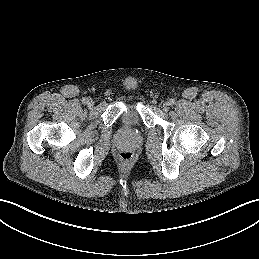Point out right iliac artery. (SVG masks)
Returning a JSON list of instances; mask_svg holds the SVG:
<instances>
[{"instance_id": "right-iliac-artery-1", "label": "right iliac artery", "mask_w": 259, "mask_h": 259, "mask_svg": "<svg viewBox=\"0 0 259 259\" xmlns=\"http://www.w3.org/2000/svg\"><path fill=\"white\" fill-rule=\"evenodd\" d=\"M82 102H83L84 104H87L88 98H87V97H84V98L82 99Z\"/></svg>"}]
</instances>
